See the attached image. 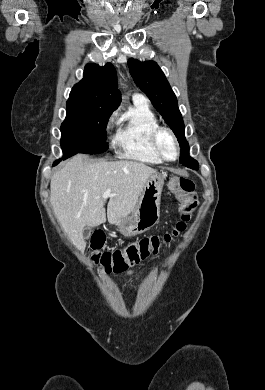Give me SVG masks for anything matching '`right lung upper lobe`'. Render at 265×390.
<instances>
[{
    "label": "right lung upper lobe",
    "instance_id": "obj_1",
    "mask_svg": "<svg viewBox=\"0 0 265 390\" xmlns=\"http://www.w3.org/2000/svg\"><path fill=\"white\" fill-rule=\"evenodd\" d=\"M120 101L114 66L107 63L100 67L91 63L85 66L83 79L72 88L67 105L91 106L113 112Z\"/></svg>",
    "mask_w": 265,
    "mask_h": 390
}]
</instances>
